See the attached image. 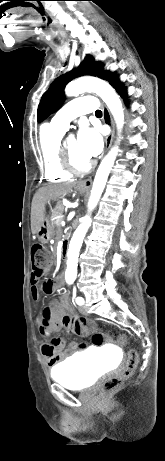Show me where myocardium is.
<instances>
[{
    "instance_id": "obj_1",
    "label": "myocardium",
    "mask_w": 165,
    "mask_h": 461,
    "mask_svg": "<svg viewBox=\"0 0 165 461\" xmlns=\"http://www.w3.org/2000/svg\"><path fill=\"white\" fill-rule=\"evenodd\" d=\"M58 152L60 165L69 174L83 175L88 173L93 167L92 161H89L83 167H79L76 164H74V162L71 159L70 153L66 147V139L60 141Z\"/></svg>"
}]
</instances>
